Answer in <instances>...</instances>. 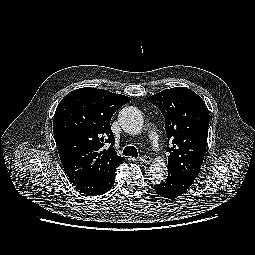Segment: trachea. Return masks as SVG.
<instances>
[{"label": "trachea", "instance_id": "obj_1", "mask_svg": "<svg viewBox=\"0 0 255 255\" xmlns=\"http://www.w3.org/2000/svg\"><path fill=\"white\" fill-rule=\"evenodd\" d=\"M123 155L137 158L138 157V151L133 146H127L123 150Z\"/></svg>", "mask_w": 255, "mask_h": 255}]
</instances>
